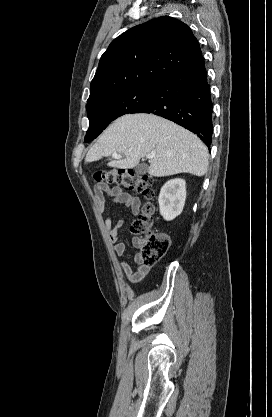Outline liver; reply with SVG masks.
Returning <instances> with one entry per match:
<instances>
[{"label":"liver","mask_w":272,"mask_h":417,"mask_svg":"<svg viewBox=\"0 0 272 417\" xmlns=\"http://www.w3.org/2000/svg\"><path fill=\"white\" fill-rule=\"evenodd\" d=\"M154 152L148 172L154 177L190 173L203 176L208 169V150L193 133L153 114H128L115 120L88 151L90 163L113 153L123 159L108 163L109 167L130 169L141 158Z\"/></svg>","instance_id":"obj_1"}]
</instances>
